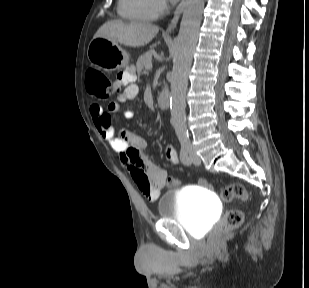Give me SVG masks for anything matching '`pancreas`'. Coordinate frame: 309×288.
Instances as JSON below:
<instances>
[{
	"label": "pancreas",
	"mask_w": 309,
	"mask_h": 288,
	"mask_svg": "<svg viewBox=\"0 0 309 288\" xmlns=\"http://www.w3.org/2000/svg\"><path fill=\"white\" fill-rule=\"evenodd\" d=\"M153 53L154 50H149L138 58L136 63L138 73H141L143 69H147V66L152 63Z\"/></svg>",
	"instance_id": "1"
}]
</instances>
